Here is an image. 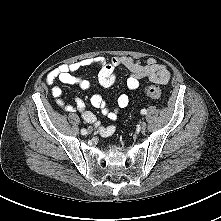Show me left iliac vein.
<instances>
[{
    "label": "left iliac vein",
    "instance_id": "left-iliac-vein-1",
    "mask_svg": "<svg viewBox=\"0 0 221 221\" xmlns=\"http://www.w3.org/2000/svg\"><path fill=\"white\" fill-rule=\"evenodd\" d=\"M140 127H141V130L144 131L147 127L146 122H142Z\"/></svg>",
    "mask_w": 221,
    "mask_h": 221
}]
</instances>
